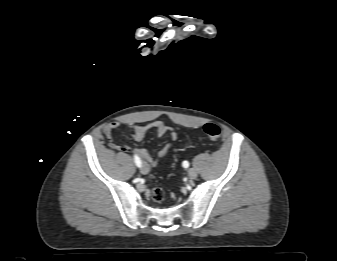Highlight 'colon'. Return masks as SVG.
I'll list each match as a JSON object with an SVG mask.
<instances>
[{
	"mask_svg": "<svg viewBox=\"0 0 337 261\" xmlns=\"http://www.w3.org/2000/svg\"><path fill=\"white\" fill-rule=\"evenodd\" d=\"M203 130L211 141L218 140L221 135L220 127L214 123L205 124ZM151 197L155 202L160 203L164 200L165 194L160 187H154L151 191Z\"/></svg>",
	"mask_w": 337,
	"mask_h": 261,
	"instance_id": "1",
	"label": "colon"
}]
</instances>
